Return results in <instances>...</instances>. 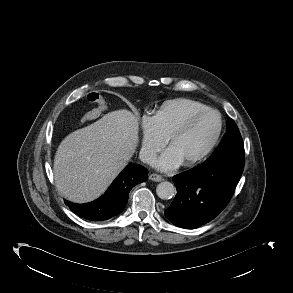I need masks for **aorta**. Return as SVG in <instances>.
Returning <instances> with one entry per match:
<instances>
[{
  "mask_svg": "<svg viewBox=\"0 0 293 293\" xmlns=\"http://www.w3.org/2000/svg\"><path fill=\"white\" fill-rule=\"evenodd\" d=\"M176 193L174 185L168 181L161 182L156 187V194L160 199H171Z\"/></svg>",
  "mask_w": 293,
  "mask_h": 293,
  "instance_id": "obj_1",
  "label": "aorta"
}]
</instances>
